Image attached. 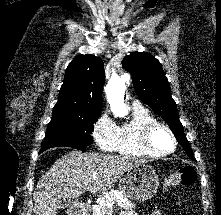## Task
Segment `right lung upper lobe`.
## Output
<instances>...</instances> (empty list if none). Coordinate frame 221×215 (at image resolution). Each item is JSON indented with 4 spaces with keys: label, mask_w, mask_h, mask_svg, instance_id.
<instances>
[{
    "label": "right lung upper lobe",
    "mask_w": 221,
    "mask_h": 215,
    "mask_svg": "<svg viewBox=\"0 0 221 215\" xmlns=\"http://www.w3.org/2000/svg\"><path fill=\"white\" fill-rule=\"evenodd\" d=\"M104 84L103 61L90 54L78 55L68 65L53 113L101 112Z\"/></svg>",
    "instance_id": "right-lung-upper-lobe-1"
}]
</instances>
